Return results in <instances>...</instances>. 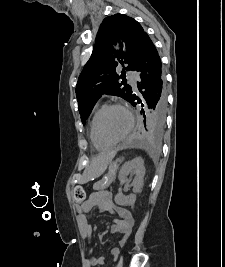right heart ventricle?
I'll return each mask as SVG.
<instances>
[{"label":"right heart ventricle","mask_w":225,"mask_h":267,"mask_svg":"<svg viewBox=\"0 0 225 267\" xmlns=\"http://www.w3.org/2000/svg\"><path fill=\"white\" fill-rule=\"evenodd\" d=\"M101 109H102V107L97 106L93 110L91 117H90L89 128H88V134H89L90 141H91L93 147L96 149H106V148L111 147L110 145H107V144L101 142L97 138V135L95 133V121H96V118H97L99 112L101 111Z\"/></svg>","instance_id":"e07e8e85"}]
</instances>
